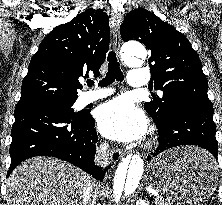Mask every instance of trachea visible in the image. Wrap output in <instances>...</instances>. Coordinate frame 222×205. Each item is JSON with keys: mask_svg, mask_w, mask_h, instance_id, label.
<instances>
[{"mask_svg": "<svg viewBox=\"0 0 222 205\" xmlns=\"http://www.w3.org/2000/svg\"><path fill=\"white\" fill-rule=\"evenodd\" d=\"M108 61V72L99 83L98 86L100 87H107L108 85L112 84L115 80L122 82L124 80L123 73L120 69L119 62L117 61L116 54L114 51H110L107 57ZM88 86H93V81L87 82Z\"/></svg>", "mask_w": 222, "mask_h": 205, "instance_id": "1", "label": "trachea"}]
</instances>
